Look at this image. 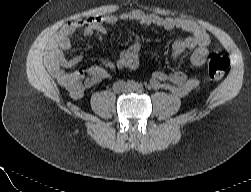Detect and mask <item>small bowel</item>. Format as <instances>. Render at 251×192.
I'll return each instance as SVG.
<instances>
[{"label": "small bowel", "mask_w": 251, "mask_h": 192, "mask_svg": "<svg viewBox=\"0 0 251 192\" xmlns=\"http://www.w3.org/2000/svg\"><path fill=\"white\" fill-rule=\"evenodd\" d=\"M120 19L153 24L169 30L181 29L190 33V36L185 40L174 43L172 48L173 57L178 58L187 50H193L191 55L193 67L198 68L204 64L209 52L210 37L201 26L189 19L162 17L140 10L120 15L101 13L86 20L64 25L47 42V55L52 63V67L58 74L60 80L69 89L73 98H81L86 89L101 83L107 79L110 74L106 69L101 67H92L86 72L81 70L72 73L64 72L63 68L75 66L82 60V56H75L70 59L64 57L62 51L70 47L69 37L76 29L81 27L85 28L87 34H104L106 32L105 24L116 23ZM138 64L139 44L136 41L120 53L117 66L120 68L135 69ZM151 85L154 88H166L176 96H185L198 85V81L182 72L167 74L162 71H156L152 75Z\"/></svg>", "instance_id": "1"}]
</instances>
